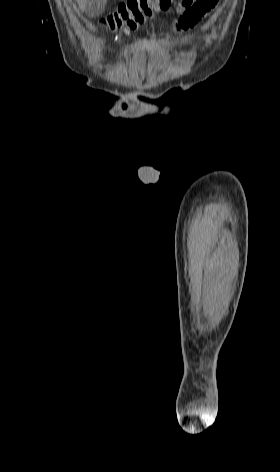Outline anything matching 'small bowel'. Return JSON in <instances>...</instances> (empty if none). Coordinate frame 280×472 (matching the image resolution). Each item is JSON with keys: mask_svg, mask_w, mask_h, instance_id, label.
<instances>
[{"mask_svg": "<svg viewBox=\"0 0 280 472\" xmlns=\"http://www.w3.org/2000/svg\"><path fill=\"white\" fill-rule=\"evenodd\" d=\"M177 7L176 11L179 13V17L174 24V29L176 31H185L194 27L200 19L209 12L218 2H215L211 5L208 4L209 0H182ZM106 68H112L111 64H106Z\"/></svg>", "mask_w": 280, "mask_h": 472, "instance_id": "obj_1", "label": "small bowel"}]
</instances>
